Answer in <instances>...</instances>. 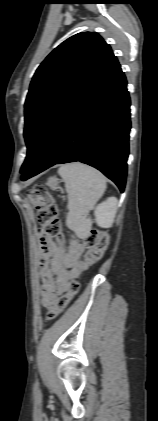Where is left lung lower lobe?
I'll return each mask as SVG.
<instances>
[{"instance_id":"left-lung-lower-lobe-1","label":"left lung lower lobe","mask_w":158,"mask_h":421,"mask_svg":"<svg viewBox=\"0 0 158 421\" xmlns=\"http://www.w3.org/2000/svg\"><path fill=\"white\" fill-rule=\"evenodd\" d=\"M126 85L114 56L59 114L21 179L55 164L80 161L100 170L123 192L131 128Z\"/></svg>"}]
</instances>
